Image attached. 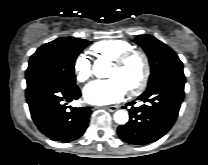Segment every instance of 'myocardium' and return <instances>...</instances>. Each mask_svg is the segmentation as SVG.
<instances>
[{"label":"myocardium","instance_id":"myocardium-1","mask_svg":"<svg viewBox=\"0 0 208 165\" xmlns=\"http://www.w3.org/2000/svg\"><path fill=\"white\" fill-rule=\"evenodd\" d=\"M134 56H138L141 58L142 63H143V73H142V77L139 80V82L136 85H134L133 87L128 89V93L131 95L139 94L147 86V83H148L149 77H150V71H151L148 55L142 50L131 49L129 51L122 53L121 55H119L115 59L111 60V65H113L117 68H120L123 65H125L127 63V61Z\"/></svg>","mask_w":208,"mask_h":165}]
</instances>
